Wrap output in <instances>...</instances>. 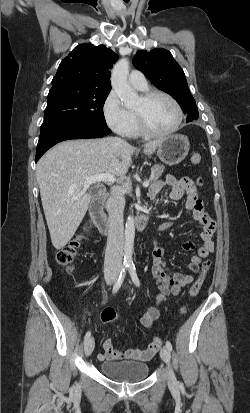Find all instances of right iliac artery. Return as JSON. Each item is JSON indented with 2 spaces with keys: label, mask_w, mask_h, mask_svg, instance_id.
Masks as SVG:
<instances>
[{
  "label": "right iliac artery",
  "mask_w": 250,
  "mask_h": 413,
  "mask_svg": "<svg viewBox=\"0 0 250 413\" xmlns=\"http://www.w3.org/2000/svg\"><path fill=\"white\" fill-rule=\"evenodd\" d=\"M126 268H127V265H124V267L122 268V271L120 272V275H119L117 281L115 282V284L113 286V290H112L113 293H116L120 289V287H121V285L124 281V278H125ZM90 336H91V332L88 331L85 334L84 340L86 341L88 338H90Z\"/></svg>",
  "instance_id": "82829eb1"
}]
</instances>
